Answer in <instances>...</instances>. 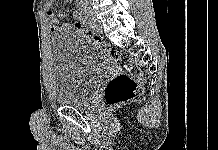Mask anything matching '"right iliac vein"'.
<instances>
[{
    "label": "right iliac vein",
    "mask_w": 218,
    "mask_h": 150,
    "mask_svg": "<svg viewBox=\"0 0 218 150\" xmlns=\"http://www.w3.org/2000/svg\"><path fill=\"white\" fill-rule=\"evenodd\" d=\"M83 11H84V14L86 16H88L92 21H94V22H96V24H98V21H96L94 15H93V12L91 11V9L89 7L84 6Z\"/></svg>",
    "instance_id": "1"
}]
</instances>
